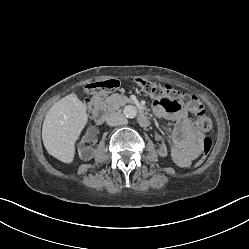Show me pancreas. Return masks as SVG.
I'll return each instance as SVG.
<instances>
[{"mask_svg":"<svg viewBox=\"0 0 249 249\" xmlns=\"http://www.w3.org/2000/svg\"><path fill=\"white\" fill-rule=\"evenodd\" d=\"M130 102L131 100L127 98L126 96H122L119 94H112L106 98V100L104 101V104L110 105L113 108H119L120 106L126 103H130Z\"/></svg>","mask_w":249,"mask_h":249,"instance_id":"cf45deb5","label":"pancreas"}]
</instances>
